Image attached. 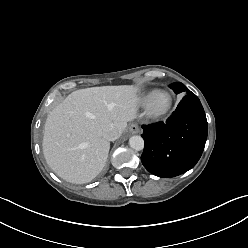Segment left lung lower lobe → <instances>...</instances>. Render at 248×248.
<instances>
[{"label":"left lung lower lobe","mask_w":248,"mask_h":248,"mask_svg":"<svg viewBox=\"0 0 248 248\" xmlns=\"http://www.w3.org/2000/svg\"><path fill=\"white\" fill-rule=\"evenodd\" d=\"M142 128V164L152 174L164 178L183 174L196 165L208 133L204 109L192 92L182 98L166 123Z\"/></svg>","instance_id":"obj_1"}]
</instances>
